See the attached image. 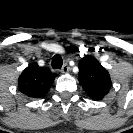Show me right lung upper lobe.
I'll list each match as a JSON object with an SVG mask.
<instances>
[{"label":"right lung upper lobe","mask_w":133,"mask_h":133,"mask_svg":"<svg viewBox=\"0 0 133 133\" xmlns=\"http://www.w3.org/2000/svg\"><path fill=\"white\" fill-rule=\"evenodd\" d=\"M56 76L49 69L33 63L19 76L18 87L30 98H41L48 92Z\"/></svg>","instance_id":"right-lung-upper-lobe-1"}]
</instances>
